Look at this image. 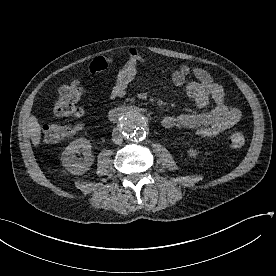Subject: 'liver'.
Returning <instances> with one entry per match:
<instances>
[{
	"label": "liver",
	"mask_w": 276,
	"mask_h": 276,
	"mask_svg": "<svg viewBox=\"0 0 276 276\" xmlns=\"http://www.w3.org/2000/svg\"><path fill=\"white\" fill-rule=\"evenodd\" d=\"M28 130L34 146H38L41 141V127L35 116H31L28 120Z\"/></svg>",
	"instance_id": "1"
}]
</instances>
